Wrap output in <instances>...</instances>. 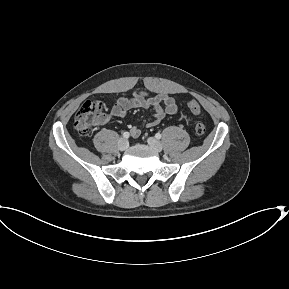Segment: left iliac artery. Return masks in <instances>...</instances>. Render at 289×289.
<instances>
[{
  "label": "left iliac artery",
  "mask_w": 289,
  "mask_h": 289,
  "mask_svg": "<svg viewBox=\"0 0 289 289\" xmlns=\"http://www.w3.org/2000/svg\"><path fill=\"white\" fill-rule=\"evenodd\" d=\"M155 137H156L157 139H160V138H161V134H160V133H156V134H155Z\"/></svg>",
  "instance_id": "obj_1"
}]
</instances>
